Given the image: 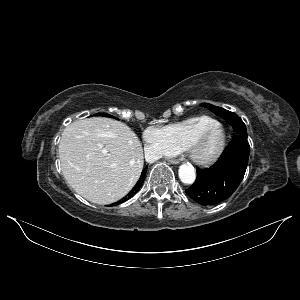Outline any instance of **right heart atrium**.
Masks as SVG:
<instances>
[{"label": "right heart atrium", "instance_id": "1", "mask_svg": "<svg viewBox=\"0 0 300 300\" xmlns=\"http://www.w3.org/2000/svg\"><path fill=\"white\" fill-rule=\"evenodd\" d=\"M146 153L151 159H159L175 154L177 151L172 147L162 128L148 127L143 133Z\"/></svg>", "mask_w": 300, "mask_h": 300}]
</instances>
